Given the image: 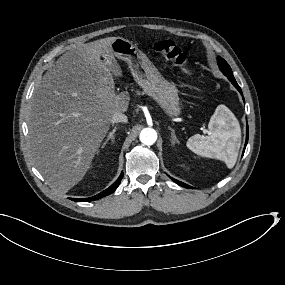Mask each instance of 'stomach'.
<instances>
[{
    "label": "stomach",
    "instance_id": "1",
    "mask_svg": "<svg viewBox=\"0 0 285 285\" xmlns=\"http://www.w3.org/2000/svg\"><path fill=\"white\" fill-rule=\"evenodd\" d=\"M115 56L129 65L132 77L144 93L150 96L169 119L182 114L178 89L166 80L152 61L133 43L124 38H115L111 45Z\"/></svg>",
    "mask_w": 285,
    "mask_h": 285
}]
</instances>
